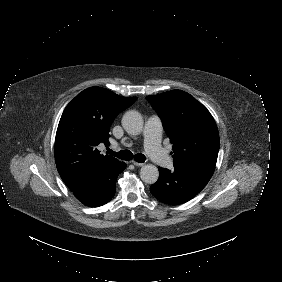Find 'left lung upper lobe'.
<instances>
[{"label": "left lung upper lobe", "instance_id": "1", "mask_svg": "<svg viewBox=\"0 0 282 282\" xmlns=\"http://www.w3.org/2000/svg\"><path fill=\"white\" fill-rule=\"evenodd\" d=\"M147 101L157 111L173 144L174 167L215 166L220 146L217 125L209 111L190 94L172 90Z\"/></svg>", "mask_w": 282, "mask_h": 282}]
</instances>
